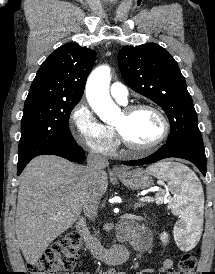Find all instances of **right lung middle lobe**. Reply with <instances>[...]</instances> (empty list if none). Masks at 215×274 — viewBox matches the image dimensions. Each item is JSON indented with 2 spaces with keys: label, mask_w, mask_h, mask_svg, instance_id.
I'll return each mask as SVG.
<instances>
[{
  "label": "right lung middle lobe",
  "mask_w": 215,
  "mask_h": 274,
  "mask_svg": "<svg viewBox=\"0 0 215 274\" xmlns=\"http://www.w3.org/2000/svg\"><path fill=\"white\" fill-rule=\"evenodd\" d=\"M76 104L45 100L25 102L18 161L30 160L51 148L76 144L69 128V116Z\"/></svg>",
  "instance_id": "obj_1"
}]
</instances>
